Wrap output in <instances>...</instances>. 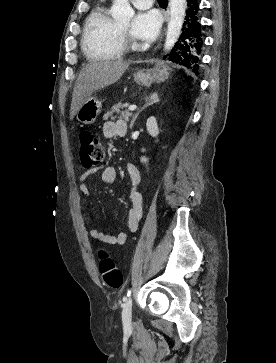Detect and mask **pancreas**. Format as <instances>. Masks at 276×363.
I'll return each mask as SVG.
<instances>
[{
	"instance_id": "1",
	"label": "pancreas",
	"mask_w": 276,
	"mask_h": 363,
	"mask_svg": "<svg viewBox=\"0 0 276 363\" xmlns=\"http://www.w3.org/2000/svg\"><path fill=\"white\" fill-rule=\"evenodd\" d=\"M126 106H127L126 104L119 102V103L113 105L111 111H108L104 115V117L105 118L112 117L114 113H117V114H120V118L128 121L129 117L132 116V113L129 112L128 110H122Z\"/></svg>"
}]
</instances>
